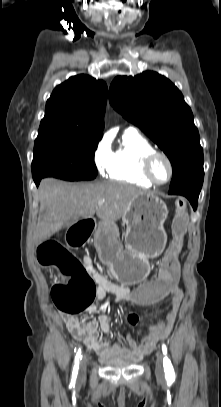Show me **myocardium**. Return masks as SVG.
Wrapping results in <instances>:
<instances>
[{
    "label": "myocardium",
    "instance_id": "1",
    "mask_svg": "<svg viewBox=\"0 0 221 407\" xmlns=\"http://www.w3.org/2000/svg\"><path fill=\"white\" fill-rule=\"evenodd\" d=\"M158 157L163 158V159L167 162L168 167H169V176H168L167 180H165L164 182H159V181H157V180L155 179L153 173H152V165H153V162H154V160H155L156 158H158ZM142 171H143L144 176H145L153 185H156V186H163V185L168 184V183L172 180L173 175H174V166H173L172 160L170 159V157H169L166 153L161 152V151L154 150V151L150 152L149 154H147V155L144 157L143 163H142Z\"/></svg>",
    "mask_w": 221,
    "mask_h": 407
}]
</instances>
